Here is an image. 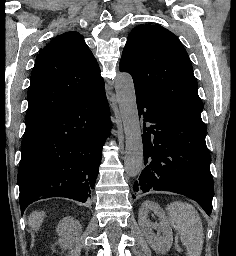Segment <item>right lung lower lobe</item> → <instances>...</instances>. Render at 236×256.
Returning a JSON list of instances; mask_svg holds the SVG:
<instances>
[{
  "label": "right lung lower lobe",
  "mask_w": 236,
  "mask_h": 256,
  "mask_svg": "<svg viewBox=\"0 0 236 256\" xmlns=\"http://www.w3.org/2000/svg\"><path fill=\"white\" fill-rule=\"evenodd\" d=\"M109 115L103 87L25 130L18 171L22 214L49 197L86 202L110 134Z\"/></svg>",
  "instance_id": "98d812e1"
}]
</instances>
